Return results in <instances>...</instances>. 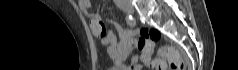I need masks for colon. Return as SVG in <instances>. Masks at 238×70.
<instances>
[{
	"label": "colon",
	"mask_w": 238,
	"mask_h": 70,
	"mask_svg": "<svg viewBox=\"0 0 238 70\" xmlns=\"http://www.w3.org/2000/svg\"><path fill=\"white\" fill-rule=\"evenodd\" d=\"M160 32L153 28H144L140 31V47L146 57H149L153 51L154 43L159 40ZM158 58L151 60L148 64L156 70H165L167 64L171 70H184V62L180 53L172 46H162L158 50Z\"/></svg>",
	"instance_id": "colon-1"
}]
</instances>
